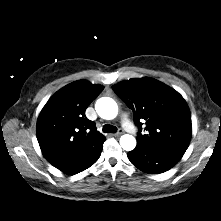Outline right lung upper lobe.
I'll list each match as a JSON object with an SVG mask.
<instances>
[{"label":"right lung upper lobe","instance_id":"1","mask_svg":"<svg viewBox=\"0 0 221 221\" xmlns=\"http://www.w3.org/2000/svg\"><path fill=\"white\" fill-rule=\"evenodd\" d=\"M102 85L78 80L56 92L37 120V139L46 160L64 173L77 174L94 164L105 137L85 116Z\"/></svg>","mask_w":221,"mask_h":221}]
</instances>
